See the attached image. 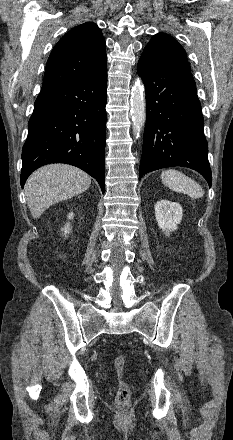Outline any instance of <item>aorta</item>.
Listing matches in <instances>:
<instances>
[{
  "instance_id": "obj_1",
  "label": "aorta",
  "mask_w": 233,
  "mask_h": 440,
  "mask_svg": "<svg viewBox=\"0 0 233 440\" xmlns=\"http://www.w3.org/2000/svg\"><path fill=\"white\" fill-rule=\"evenodd\" d=\"M130 101L133 133L139 136L146 122L145 90L140 78L132 86Z\"/></svg>"
}]
</instances>
